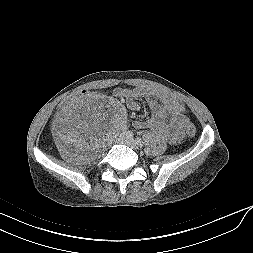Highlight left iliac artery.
I'll use <instances>...</instances> for the list:
<instances>
[{
  "label": "left iliac artery",
  "mask_w": 253,
  "mask_h": 253,
  "mask_svg": "<svg viewBox=\"0 0 253 253\" xmlns=\"http://www.w3.org/2000/svg\"><path fill=\"white\" fill-rule=\"evenodd\" d=\"M136 143H137V145H138L139 147H142V146L144 145L143 140L140 139V138H137V139H136Z\"/></svg>",
  "instance_id": "left-iliac-artery-1"
}]
</instances>
